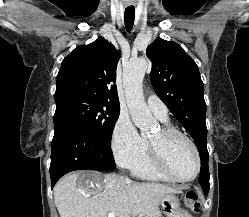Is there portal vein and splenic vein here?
Instances as JSON below:
<instances>
[{"label":"portal vein and splenic vein","mask_w":249,"mask_h":217,"mask_svg":"<svg viewBox=\"0 0 249 217\" xmlns=\"http://www.w3.org/2000/svg\"><path fill=\"white\" fill-rule=\"evenodd\" d=\"M108 217H115L114 212H110V213L108 214Z\"/></svg>","instance_id":"portal-vein-and-splenic-vein-1"}]
</instances>
